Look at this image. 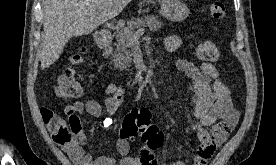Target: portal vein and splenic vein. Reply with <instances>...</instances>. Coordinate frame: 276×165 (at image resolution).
I'll return each mask as SVG.
<instances>
[{"mask_svg":"<svg viewBox=\"0 0 276 165\" xmlns=\"http://www.w3.org/2000/svg\"><path fill=\"white\" fill-rule=\"evenodd\" d=\"M144 32H145V29H139V30H137L134 34L130 35L131 40L133 41V40L138 39L141 35L144 34Z\"/></svg>","mask_w":276,"mask_h":165,"instance_id":"obj_1","label":"portal vein and splenic vein"}]
</instances>
